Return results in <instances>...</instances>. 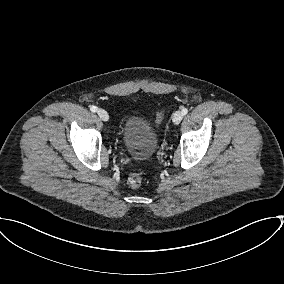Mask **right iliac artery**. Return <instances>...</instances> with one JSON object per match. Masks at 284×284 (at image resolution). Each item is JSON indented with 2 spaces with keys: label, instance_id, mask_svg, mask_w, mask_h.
Listing matches in <instances>:
<instances>
[{
  "label": "right iliac artery",
  "instance_id": "obj_1",
  "mask_svg": "<svg viewBox=\"0 0 284 284\" xmlns=\"http://www.w3.org/2000/svg\"><path fill=\"white\" fill-rule=\"evenodd\" d=\"M90 110L92 112H96L98 110V108L96 106L92 105V106H90Z\"/></svg>",
  "mask_w": 284,
  "mask_h": 284
}]
</instances>
